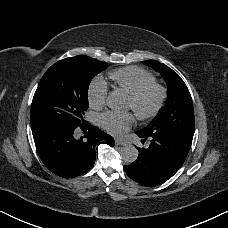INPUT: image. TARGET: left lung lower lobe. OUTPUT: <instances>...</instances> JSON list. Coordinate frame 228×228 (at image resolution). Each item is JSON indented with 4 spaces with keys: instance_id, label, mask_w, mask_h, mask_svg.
I'll use <instances>...</instances> for the list:
<instances>
[{
    "instance_id": "left-lung-lower-lobe-1",
    "label": "left lung lower lobe",
    "mask_w": 228,
    "mask_h": 228,
    "mask_svg": "<svg viewBox=\"0 0 228 228\" xmlns=\"http://www.w3.org/2000/svg\"><path fill=\"white\" fill-rule=\"evenodd\" d=\"M147 148H138L137 160L124 170L134 181L145 186H157L170 179L183 165L193 137L167 132H135Z\"/></svg>"
}]
</instances>
